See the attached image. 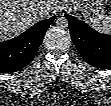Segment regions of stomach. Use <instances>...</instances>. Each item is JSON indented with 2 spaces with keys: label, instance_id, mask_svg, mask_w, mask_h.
Instances as JSON below:
<instances>
[{
  "label": "stomach",
  "instance_id": "0dacf381",
  "mask_svg": "<svg viewBox=\"0 0 111 106\" xmlns=\"http://www.w3.org/2000/svg\"><path fill=\"white\" fill-rule=\"evenodd\" d=\"M75 10L86 12V16H89L92 12L96 16H102L105 12V3L102 0H96L92 2H81L74 1L72 2Z\"/></svg>",
  "mask_w": 111,
  "mask_h": 106
}]
</instances>
